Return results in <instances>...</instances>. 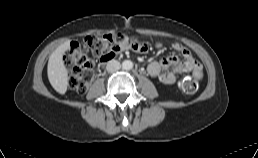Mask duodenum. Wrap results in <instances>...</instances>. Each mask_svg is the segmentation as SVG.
<instances>
[{"instance_id":"obj_1","label":"duodenum","mask_w":258,"mask_h":158,"mask_svg":"<svg viewBox=\"0 0 258 158\" xmlns=\"http://www.w3.org/2000/svg\"><path fill=\"white\" fill-rule=\"evenodd\" d=\"M110 60H111V58L104 60V61H103V66H104L108 61H110Z\"/></svg>"}]
</instances>
